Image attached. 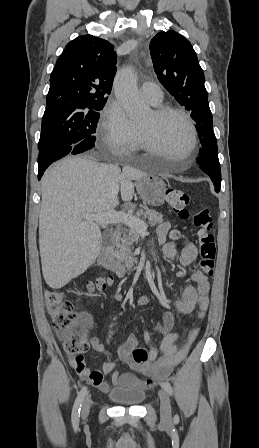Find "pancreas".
<instances>
[{
  "mask_svg": "<svg viewBox=\"0 0 259 448\" xmlns=\"http://www.w3.org/2000/svg\"><path fill=\"white\" fill-rule=\"evenodd\" d=\"M136 216H143V220H148V224L151 226H158L163 222L162 214L156 212V210H148L145 208L144 210H138ZM139 240V232L137 230H125L123 232V238H121V246H119L120 250H118L117 258L120 262H124L125 268H132L133 262H136V258H132V248L134 242H138Z\"/></svg>",
  "mask_w": 259,
  "mask_h": 448,
  "instance_id": "1",
  "label": "pancreas"
}]
</instances>
